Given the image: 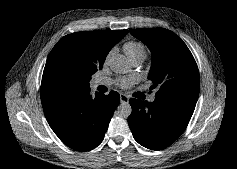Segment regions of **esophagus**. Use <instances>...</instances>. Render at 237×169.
<instances>
[{"label": "esophagus", "instance_id": "1", "mask_svg": "<svg viewBox=\"0 0 237 169\" xmlns=\"http://www.w3.org/2000/svg\"><path fill=\"white\" fill-rule=\"evenodd\" d=\"M120 102L121 103H128L129 102V97L125 94H120Z\"/></svg>", "mask_w": 237, "mask_h": 169}]
</instances>
